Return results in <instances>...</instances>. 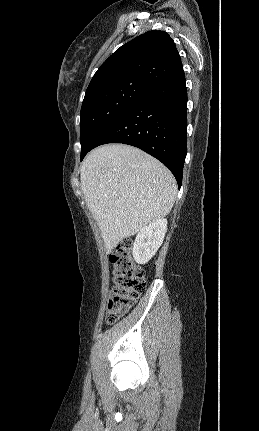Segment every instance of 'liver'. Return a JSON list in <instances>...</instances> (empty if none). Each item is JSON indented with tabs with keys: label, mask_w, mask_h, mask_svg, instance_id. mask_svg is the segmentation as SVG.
<instances>
[{
	"label": "liver",
	"mask_w": 259,
	"mask_h": 431,
	"mask_svg": "<svg viewBox=\"0 0 259 431\" xmlns=\"http://www.w3.org/2000/svg\"><path fill=\"white\" fill-rule=\"evenodd\" d=\"M80 178L107 254L124 238L168 215L177 194L176 180L161 162L124 144L92 150Z\"/></svg>",
	"instance_id": "liver-1"
}]
</instances>
